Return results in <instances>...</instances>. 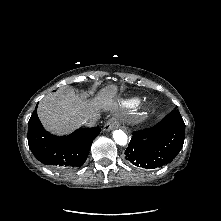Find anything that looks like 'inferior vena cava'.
<instances>
[{
    "mask_svg": "<svg viewBox=\"0 0 221 221\" xmlns=\"http://www.w3.org/2000/svg\"><path fill=\"white\" fill-rule=\"evenodd\" d=\"M100 116L98 114L90 115L83 120V124L87 127H94L97 125Z\"/></svg>",
    "mask_w": 221,
    "mask_h": 221,
    "instance_id": "602c4592",
    "label": "inferior vena cava"
}]
</instances>
